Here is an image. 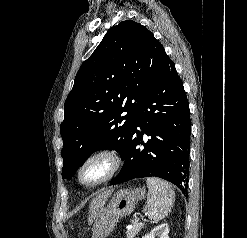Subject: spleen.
Instances as JSON below:
<instances>
[{
    "label": "spleen",
    "instance_id": "3e777b00",
    "mask_svg": "<svg viewBox=\"0 0 247 238\" xmlns=\"http://www.w3.org/2000/svg\"><path fill=\"white\" fill-rule=\"evenodd\" d=\"M146 183L148 187V217L152 222H159L171 211L175 193L172 186L162 179L149 177Z\"/></svg>",
    "mask_w": 247,
    "mask_h": 238
}]
</instances>
